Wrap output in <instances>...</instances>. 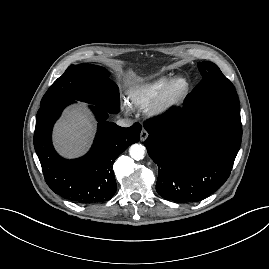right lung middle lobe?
I'll return each mask as SVG.
<instances>
[{"label":"right lung middle lobe","mask_w":269,"mask_h":269,"mask_svg":"<svg viewBox=\"0 0 269 269\" xmlns=\"http://www.w3.org/2000/svg\"><path fill=\"white\" fill-rule=\"evenodd\" d=\"M60 99L95 104L111 113L120 107L118 87L105 68L93 64L69 66L45 93L40 106Z\"/></svg>","instance_id":"dd1d6c3e"}]
</instances>
